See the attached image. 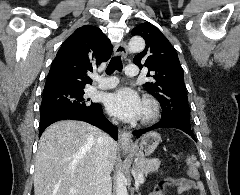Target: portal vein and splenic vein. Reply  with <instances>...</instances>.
<instances>
[{
	"label": "portal vein and splenic vein",
	"instance_id": "obj_1",
	"mask_svg": "<svg viewBox=\"0 0 240 195\" xmlns=\"http://www.w3.org/2000/svg\"><path fill=\"white\" fill-rule=\"evenodd\" d=\"M133 175H135V171H133ZM137 182H139V183H143L144 182V175H143V173H137ZM70 193H76V189H70Z\"/></svg>",
	"mask_w": 240,
	"mask_h": 195
}]
</instances>
